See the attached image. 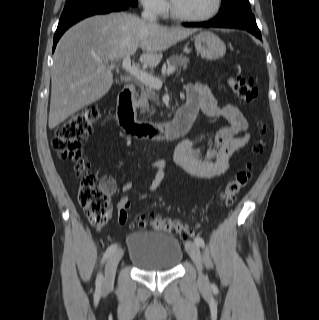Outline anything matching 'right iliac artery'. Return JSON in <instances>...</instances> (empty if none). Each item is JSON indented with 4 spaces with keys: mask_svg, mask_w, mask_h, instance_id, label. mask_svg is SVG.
<instances>
[{
    "mask_svg": "<svg viewBox=\"0 0 319 320\" xmlns=\"http://www.w3.org/2000/svg\"><path fill=\"white\" fill-rule=\"evenodd\" d=\"M117 249V245L116 244H112L110 245L106 252L104 253L103 256V261H105L115 250ZM102 281H103V275L102 273H99L96 279V286L98 288H100L102 286Z\"/></svg>",
    "mask_w": 319,
    "mask_h": 320,
    "instance_id": "right-iliac-artery-1",
    "label": "right iliac artery"
}]
</instances>
